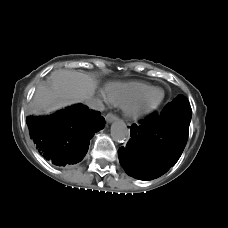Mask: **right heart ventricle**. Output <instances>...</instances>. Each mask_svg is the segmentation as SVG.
<instances>
[{"label":"right heart ventricle","mask_w":228,"mask_h":228,"mask_svg":"<svg viewBox=\"0 0 228 228\" xmlns=\"http://www.w3.org/2000/svg\"><path fill=\"white\" fill-rule=\"evenodd\" d=\"M149 87L150 85L143 82H115L108 84L104 92L109 103L116 106H124Z\"/></svg>","instance_id":"obj_1"}]
</instances>
